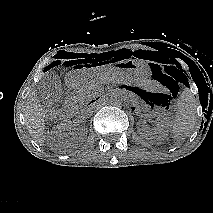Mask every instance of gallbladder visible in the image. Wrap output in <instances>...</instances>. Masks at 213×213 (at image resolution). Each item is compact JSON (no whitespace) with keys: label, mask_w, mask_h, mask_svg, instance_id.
Listing matches in <instances>:
<instances>
[{"label":"gallbladder","mask_w":213,"mask_h":213,"mask_svg":"<svg viewBox=\"0 0 213 213\" xmlns=\"http://www.w3.org/2000/svg\"><path fill=\"white\" fill-rule=\"evenodd\" d=\"M40 96L45 100L59 104L63 102V91L59 76L55 72H49L38 83Z\"/></svg>","instance_id":"obj_1"}]
</instances>
